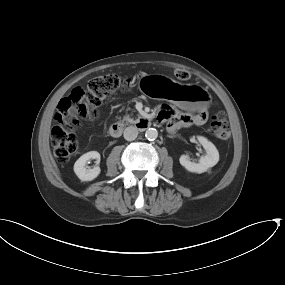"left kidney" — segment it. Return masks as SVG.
<instances>
[{"label":"left kidney","instance_id":"obj_1","mask_svg":"<svg viewBox=\"0 0 285 285\" xmlns=\"http://www.w3.org/2000/svg\"><path fill=\"white\" fill-rule=\"evenodd\" d=\"M197 139L205 149L206 155L201 156L199 163L190 161V158L187 155H181L179 162L188 171L200 174L206 172L209 168L215 166L218 163L219 152L215 145L205 137L198 136Z\"/></svg>","mask_w":285,"mask_h":285}]
</instances>
